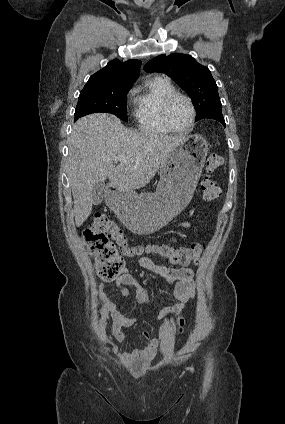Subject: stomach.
<instances>
[{
  "mask_svg": "<svg viewBox=\"0 0 285 424\" xmlns=\"http://www.w3.org/2000/svg\"><path fill=\"white\" fill-rule=\"evenodd\" d=\"M208 144L192 136L177 145L160 166L154 193L114 191L109 207L131 231L148 234L167 225L192 199L208 154Z\"/></svg>",
  "mask_w": 285,
  "mask_h": 424,
  "instance_id": "0dacf381",
  "label": "stomach"
}]
</instances>
